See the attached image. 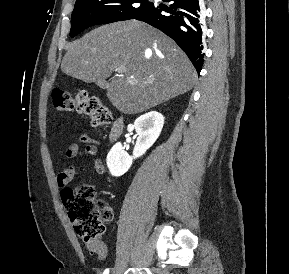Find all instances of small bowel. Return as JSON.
I'll return each mask as SVG.
<instances>
[{
    "instance_id": "small-bowel-1",
    "label": "small bowel",
    "mask_w": 289,
    "mask_h": 274,
    "mask_svg": "<svg viewBox=\"0 0 289 274\" xmlns=\"http://www.w3.org/2000/svg\"><path fill=\"white\" fill-rule=\"evenodd\" d=\"M79 143L70 144L65 150V156L67 158H74L81 153H85L90 156H95L97 154V146L95 140L85 133L79 134ZM94 168L97 173L104 174L106 173V167L103 162L95 158ZM76 173V166L70 165L62 172L57 175V185L61 188L66 187L71 180L74 178ZM86 247L91 254H95L99 260H104L108 254V248L106 244L101 240H95L86 243Z\"/></svg>"
}]
</instances>
